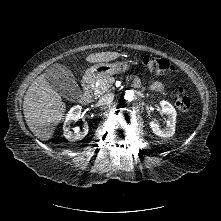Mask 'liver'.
I'll return each mask as SVG.
<instances>
[{"label":"liver","instance_id":"obj_1","mask_svg":"<svg viewBox=\"0 0 221 221\" xmlns=\"http://www.w3.org/2000/svg\"><path fill=\"white\" fill-rule=\"evenodd\" d=\"M119 56L117 52L90 54V63L108 62ZM24 117L30 130L42 141L49 140L63 117L65 104L61 96L50 87L45 74L39 75L29 86L23 103Z\"/></svg>","mask_w":221,"mask_h":221}]
</instances>
